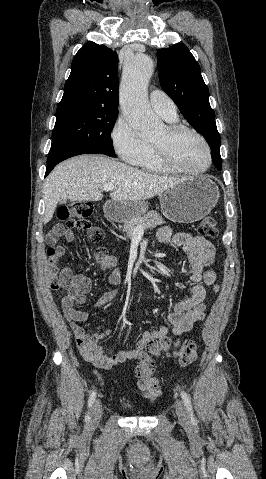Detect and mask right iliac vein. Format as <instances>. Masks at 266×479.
Returning <instances> with one entry per match:
<instances>
[{"instance_id": "right-iliac-vein-1", "label": "right iliac vein", "mask_w": 266, "mask_h": 479, "mask_svg": "<svg viewBox=\"0 0 266 479\" xmlns=\"http://www.w3.org/2000/svg\"><path fill=\"white\" fill-rule=\"evenodd\" d=\"M102 415V403L97 400L92 407L91 417L89 421V431H93L99 424Z\"/></svg>"}]
</instances>
